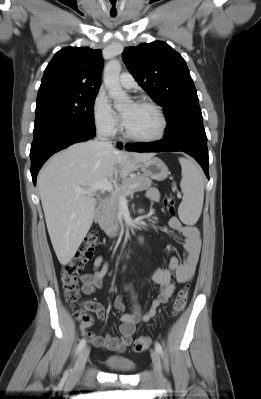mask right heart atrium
Returning a JSON list of instances; mask_svg holds the SVG:
<instances>
[{"mask_svg": "<svg viewBox=\"0 0 261 399\" xmlns=\"http://www.w3.org/2000/svg\"><path fill=\"white\" fill-rule=\"evenodd\" d=\"M93 117L97 130L104 136H114L120 127L116 112L106 97L98 95L93 104Z\"/></svg>", "mask_w": 261, "mask_h": 399, "instance_id": "obj_1", "label": "right heart atrium"}]
</instances>
